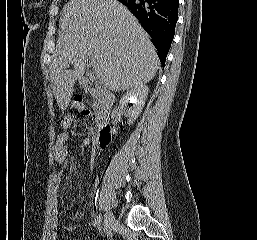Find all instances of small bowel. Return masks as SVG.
Instances as JSON below:
<instances>
[{
	"label": "small bowel",
	"mask_w": 257,
	"mask_h": 240,
	"mask_svg": "<svg viewBox=\"0 0 257 240\" xmlns=\"http://www.w3.org/2000/svg\"><path fill=\"white\" fill-rule=\"evenodd\" d=\"M69 138V133L67 130H64L61 132L54 144V153H55V158L58 164L63 167L66 164L67 160V147H66V142ZM60 179L59 173L56 174V182L58 183ZM58 199H57V192L55 193V199L53 201V214L51 217V240H59L57 233L55 231L56 227L58 226Z\"/></svg>",
	"instance_id": "c3829d8e"
}]
</instances>
